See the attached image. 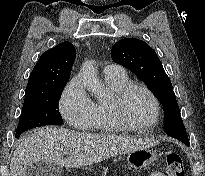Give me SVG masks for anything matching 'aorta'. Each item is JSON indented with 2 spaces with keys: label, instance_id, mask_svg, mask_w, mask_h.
I'll return each instance as SVG.
<instances>
[{
  "label": "aorta",
  "instance_id": "762f6f07",
  "mask_svg": "<svg viewBox=\"0 0 205 176\" xmlns=\"http://www.w3.org/2000/svg\"><path fill=\"white\" fill-rule=\"evenodd\" d=\"M83 82L87 90L95 95H101L103 86L98 79L93 61H87L82 66Z\"/></svg>",
  "mask_w": 205,
  "mask_h": 176
}]
</instances>
